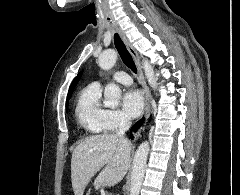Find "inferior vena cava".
I'll return each mask as SVG.
<instances>
[{
	"label": "inferior vena cava",
	"mask_w": 240,
	"mask_h": 195,
	"mask_svg": "<svg viewBox=\"0 0 240 195\" xmlns=\"http://www.w3.org/2000/svg\"><path fill=\"white\" fill-rule=\"evenodd\" d=\"M130 125H131V121L129 117H122L119 123V129L116 133V135H118V137H120L122 141H125V143H127L128 141L127 137H125V131H128Z\"/></svg>",
	"instance_id": "1"
}]
</instances>
